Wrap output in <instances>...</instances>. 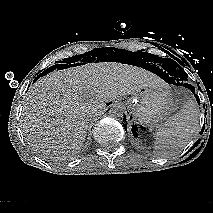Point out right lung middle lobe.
<instances>
[{
  "label": "right lung middle lobe",
  "instance_id": "1",
  "mask_svg": "<svg viewBox=\"0 0 213 213\" xmlns=\"http://www.w3.org/2000/svg\"><path fill=\"white\" fill-rule=\"evenodd\" d=\"M97 54L99 55V49L92 50L91 52H88V53H85V54L76 55V56H73L71 58H66V59H64L63 62L66 63L68 61V63H73V62L78 61L81 58H84L85 56H86L85 59H87V57L91 58V57L96 56Z\"/></svg>",
  "mask_w": 213,
  "mask_h": 213
}]
</instances>
